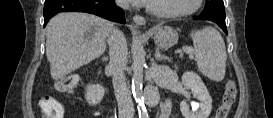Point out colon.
<instances>
[{
  "label": "colon",
  "mask_w": 273,
  "mask_h": 118,
  "mask_svg": "<svg viewBox=\"0 0 273 118\" xmlns=\"http://www.w3.org/2000/svg\"><path fill=\"white\" fill-rule=\"evenodd\" d=\"M77 83L67 80L64 87L71 90ZM236 85L233 81H228L220 106L217 109L215 118H227L236 99ZM40 110L43 118H62L64 113V102L54 96H44L40 100Z\"/></svg>",
  "instance_id": "5ec220e1"
}]
</instances>
